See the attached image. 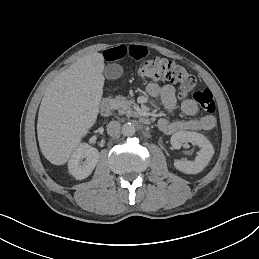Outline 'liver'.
<instances>
[{"label": "liver", "instance_id": "liver-1", "mask_svg": "<svg viewBox=\"0 0 259 259\" xmlns=\"http://www.w3.org/2000/svg\"><path fill=\"white\" fill-rule=\"evenodd\" d=\"M104 58L85 55L47 86L38 113L40 149L54 165H63L88 133L99 113Z\"/></svg>", "mask_w": 259, "mask_h": 259}]
</instances>
